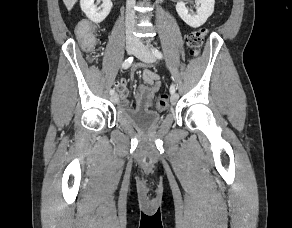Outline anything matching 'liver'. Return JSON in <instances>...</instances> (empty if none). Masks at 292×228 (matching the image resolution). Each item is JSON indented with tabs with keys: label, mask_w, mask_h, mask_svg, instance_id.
<instances>
[{
	"label": "liver",
	"mask_w": 292,
	"mask_h": 228,
	"mask_svg": "<svg viewBox=\"0 0 292 228\" xmlns=\"http://www.w3.org/2000/svg\"><path fill=\"white\" fill-rule=\"evenodd\" d=\"M66 8L68 9V11H70L73 6L75 5V3L77 2V0H63Z\"/></svg>",
	"instance_id": "1"
}]
</instances>
